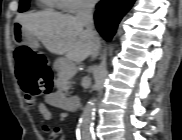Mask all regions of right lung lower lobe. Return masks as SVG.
Segmentation results:
<instances>
[{
    "label": "right lung lower lobe",
    "instance_id": "1",
    "mask_svg": "<svg viewBox=\"0 0 182 140\" xmlns=\"http://www.w3.org/2000/svg\"><path fill=\"white\" fill-rule=\"evenodd\" d=\"M135 0H102L97 4L94 15L97 30L102 37L110 41L116 32L118 23L129 11Z\"/></svg>",
    "mask_w": 182,
    "mask_h": 140
}]
</instances>
